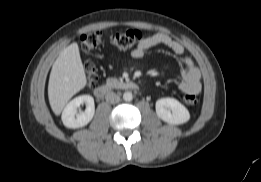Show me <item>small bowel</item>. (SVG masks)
I'll return each instance as SVG.
<instances>
[{
	"label": "small bowel",
	"instance_id": "1",
	"mask_svg": "<svg viewBox=\"0 0 261 182\" xmlns=\"http://www.w3.org/2000/svg\"><path fill=\"white\" fill-rule=\"evenodd\" d=\"M157 45L166 46L174 54L182 57L184 67L181 71V81L178 85L179 89L185 94H199L202 87L199 69L195 66L192 59L185 54V49L182 44L168 34L155 33L143 38L131 52V56L135 59L143 58L147 50Z\"/></svg>",
	"mask_w": 261,
	"mask_h": 182
}]
</instances>
